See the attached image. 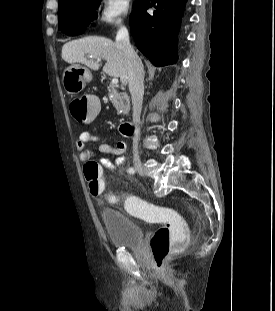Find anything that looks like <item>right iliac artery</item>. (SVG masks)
Listing matches in <instances>:
<instances>
[{"label":"right iliac artery","mask_w":275,"mask_h":311,"mask_svg":"<svg viewBox=\"0 0 275 311\" xmlns=\"http://www.w3.org/2000/svg\"><path fill=\"white\" fill-rule=\"evenodd\" d=\"M128 173L129 174H134L135 173V169L133 167L128 169Z\"/></svg>","instance_id":"right-iliac-artery-1"}]
</instances>
